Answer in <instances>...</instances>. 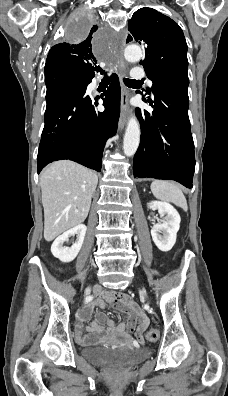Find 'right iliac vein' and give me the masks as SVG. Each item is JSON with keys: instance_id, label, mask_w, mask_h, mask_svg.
Here are the masks:
<instances>
[{"instance_id": "right-iliac-vein-1", "label": "right iliac vein", "mask_w": 228, "mask_h": 396, "mask_svg": "<svg viewBox=\"0 0 228 396\" xmlns=\"http://www.w3.org/2000/svg\"><path fill=\"white\" fill-rule=\"evenodd\" d=\"M90 291H91V288H90V287H87L86 290H85V294H86V295L89 294Z\"/></svg>"}]
</instances>
